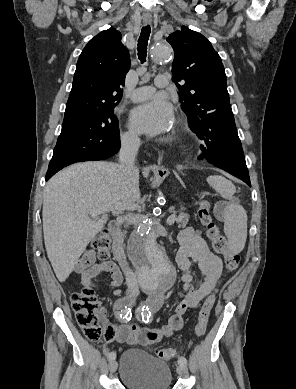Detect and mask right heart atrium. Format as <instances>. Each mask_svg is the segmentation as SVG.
<instances>
[{
  "mask_svg": "<svg viewBox=\"0 0 296 389\" xmlns=\"http://www.w3.org/2000/svg\"><path fill=\"white\" fill-rule=\"evenodd\" d=\"M122 142L125 146H131L136 142V136L132 132H125L122 136Z\"/></svg>",
  "mask_w": 296,
  "mask_h": 389,
  "instance_id": "1",
  "label": "right heart atrium"
}]
</instances>
